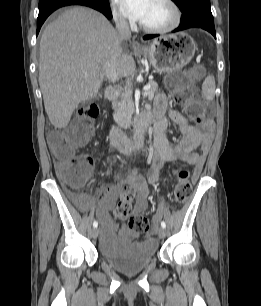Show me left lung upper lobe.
I'll return each instance as SVG.
<instances>
[{
    "label": "left lung upper lobe",
    "mask_w": 261,
    "mask_h": 306,
    "mask_svg": "<svg viewBox=\"0 0 261 306\" xmlns=\"http://www.w3.org/2000/svg\"><path fill=\"white\" fill-rule=\"evenodd\" d=\"M184 12L192 8L210 9V0H172Z\"/></svg>",
    "instance_id": "left-lung-upper-lobe-1"
}]
</instances>
